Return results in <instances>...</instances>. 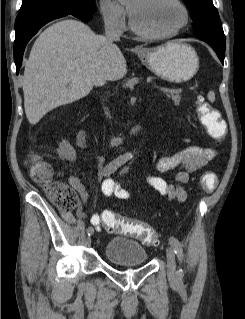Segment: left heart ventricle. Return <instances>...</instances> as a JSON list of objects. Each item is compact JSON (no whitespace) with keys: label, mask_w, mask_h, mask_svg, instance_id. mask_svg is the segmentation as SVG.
I'll return each instance as SVG.
<instances>
[{"label":"left heart ventricle","mask_w":245,"mask_h":319,"mask_svg":"<svg viewBox=\"0 0 245 319\" xmlns=\"http://www.w3.org/2000/svg\"><path fill=\"white\" fill-rule=\"evenodd\" d=\"M128 6L136 25L150 33L170 32L183 20L182 11L173 0H129Z\"/></svg>","instance_id":"1"}]
</instances>
